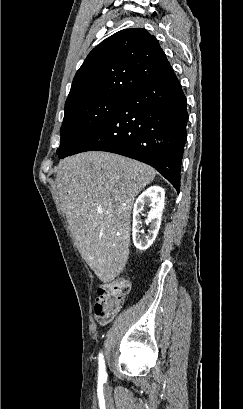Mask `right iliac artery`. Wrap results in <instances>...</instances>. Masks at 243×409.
Here are the masks:
<instances>
[{"instance_id": "82829eb1", "label": "right iliac artery", "mask_w": 243, "mask_h": 409, "mask_svg": "<svg viewBox=\"0 0 243 409\" xmlns=\"http://www.w3.org/2000/svg\"><path fill=\"white\" fill-rule=\"evenodd\" d=\"M107 378V374L105 371V363H104V359H103V355L100 354V358H99V379L102 381H105Z\"/></svg>"}]
</instances>
